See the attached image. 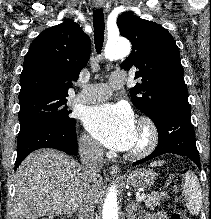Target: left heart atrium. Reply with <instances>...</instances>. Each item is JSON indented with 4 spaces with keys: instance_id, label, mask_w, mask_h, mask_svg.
<instances>
[{
    "instance_id": "39dd6f15",
    "label": "left heart atrium",
    "mask_w": 211,
    "mask_h": 219,
    "mask_svg": "<svg viewBox=\"0 0 211 219\" xmlns=\"http://www.w3.org/2000/svg\"><path fill=\"white\" fill-rule=\"evenodd\" d=\"M86 129L104 146L130 150L137 137V125L132 111L122 104H102L90 108L84 118Z\"/></svg>"
}]
</instances>
